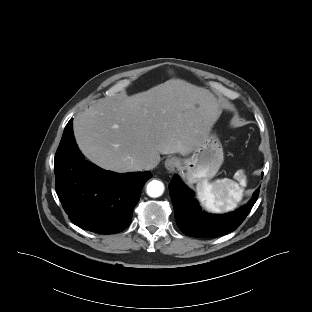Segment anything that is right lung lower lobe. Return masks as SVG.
I'll return each mask as SVG.
<instances>
[{
    "label": "right lung lower lobe",
    "instance_id": "98d812e1",
    "mask_svg": "<svg viewBox=\"0 0 312 312\" xmlns=\"http://www.w3.org/2000/svg\"><path fill=\"white\" fill-rule=\"evenodd\" d=\"M56 192L69 219L92 232L114 234L132 220L150 171L117 174L86 160L76 145L72 119L66 125L54 161Z\"/></svg>",
    "mask_w": 312,
    "mask_h": 312
}]
</instances>
